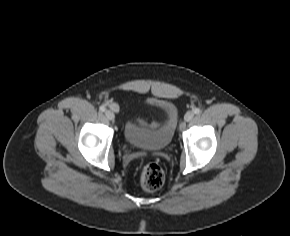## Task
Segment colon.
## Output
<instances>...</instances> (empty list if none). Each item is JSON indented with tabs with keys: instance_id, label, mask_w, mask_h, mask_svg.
<instances>
[{
	"instance_id": "colon-1",
	"label": "colon",
	"mask_w": 290,
	"mask_h": 236,
	"mask_svg": "<svg viewBox=\"0 0 290 236\" xmlns=\"http://www.w3.org/2000/svg\"><path fill=\"white\" fill-rule=\"evenodd\" d=\"M142 124L148 127L157 128L161 124L157 121L145 122ZM140 183L147 191H156L160 189L165 181V175L162 168L156 163H149L140 170Z\"/></svg>"
}]
</instances>
